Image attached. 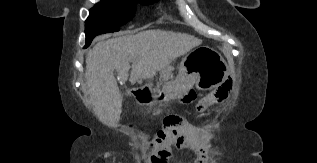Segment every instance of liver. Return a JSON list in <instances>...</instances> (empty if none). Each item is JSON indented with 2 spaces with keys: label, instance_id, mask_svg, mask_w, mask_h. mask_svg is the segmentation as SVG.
<instances>
[{
  "label": "liver",
  "instance_id": "1",
  "mask_svg": "<svg viewBox=\"0 0 317 163\" xmlns=\"http://www.w3.org/2000/svg\"><path fill=\"white\" fill-rule=\"evenodd\" d=\"M202 43L194 36L151 29L99 41L86 55L85 79L96 117L108 127L117 126L122 95L114 70L131 84L153 78L157 71ZM132 62V66H130Z\"/></svg>",
  "mask_w": 317,
  "mask_h": 163
}]
</instances>
